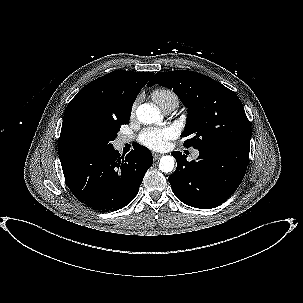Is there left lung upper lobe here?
Instances as JSON below:
<instances>
[{
	"mask_svg": "<svg viewBox=\"0 0 303 303\" xmlns=\"http://www.w3.org/2000/svg\"><path fill=\"white\" fill-rule=\"evenodd\" d=\"M160 84L173 91L188 108L182 136L185 147L209 144L250 146L251 124L235 92L203 74L174 70L157 72L148 86Z\"/></svg>",
	"mask_w": 303,
	"mask_h": 303,
	"instance_id": "5c2ea615",
	"label": "left lung upper lobe"
}]
</instances>
